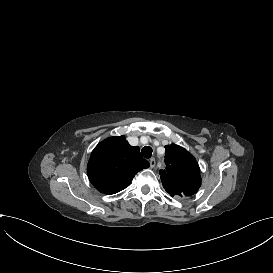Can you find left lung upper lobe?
I'll list each match as a JSON object with an SVG mask.
<instances>
[{
    "instance_id": "left-lung-upper-lobe-1",
    "label": "left lung upper lobe",
    "mask_w": 273,
    "mask_h": 273,
    "mask_svg": "<svg viewBox=\"0 0 273 273\" xmlns=\"http://www.w3.org/2000/svg\"><path fill=\"white\" fill-rule=\"evenodd\" d=\"M165 170L160 171L165 190L171 195L191 196L201 186L200 169L196 159L184 148L165 146Z\"/></svg>"
}]
</instances>
